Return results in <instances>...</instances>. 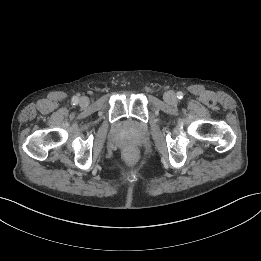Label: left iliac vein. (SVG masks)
<instances>
[{"label":"left iliac vein","mask_w":261,"mask_h":261,"mask_svg":"<svg viewBox=\"0 0 261 261\" xmlns=\"http://www.w3.org/2000/svg\"><path fill=\"white\" fill-rule=\"evenodd\" d=\"M164 100H165L167 103H169V104H174V103H176V101H177V97H176V95H175L174 92L169 91V92L165 93V95H164Z\"/></svg>","instance_id":"obj_1"}]
</instances>
